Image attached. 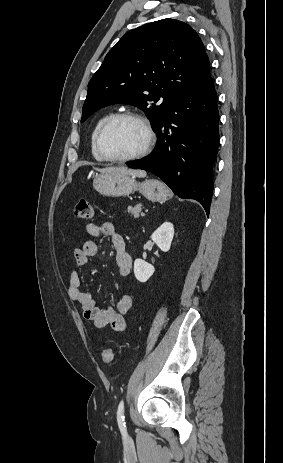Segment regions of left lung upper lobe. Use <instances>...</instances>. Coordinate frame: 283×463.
<instances>
[{
  "mask_svg": "<svg viewBox=\"0 0 283 463\" xmlns=\"http://www.w3.org/2000/svg\"><path fill=\"white\" fill-rule=\"evenodd\" d=\"M209 74L203 43L189 25L175 19L143 25L116 43L90 80L81 122L125 102L142 109L155 131L171 106Z\"/></svg>",
  "mask_w": 283,
  "mask_h": 463,
  "instance_id": "5c2ea615",
  "label": "left lung upper lobe"
}]
</instances>
